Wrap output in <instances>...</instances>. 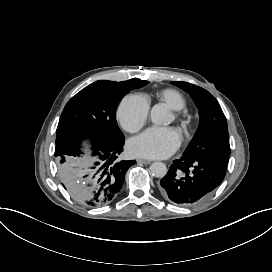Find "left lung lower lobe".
Wrapping results in <instances>:
<instances>
[{
	"mask_svg": "<svg viewBox=\"0 0 272 272\" xmlns=\"http://www.w3.org/2000/svg\"><path fill=\"white\" fill-rule=\"evenodd\" d=\"M228 163L214 158H181L175 160L160 181L165 198L181 206H191L204 199L223 181ZM186 173L178 178L177 170ZM190 169L192 172L190 173Z\"/></svg>",
	"mask_w": 272,
	"mask_h": 272,
	"instance_id": "0a47b994",
	"label": "left lung lower lobe"
}]
</instances>
